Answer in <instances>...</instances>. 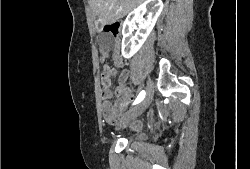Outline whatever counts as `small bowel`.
Returning a JSON list of instances; mask_svg holds the SVG:
<instances>
[{"label": "small bowel", "instance_id": "small-bowel-1", "mask_svg": "<svg viewBox=\"0 0 250 169\" xmlns=\"http://www.w3.org/2000/svg\"><path fill=\"white\" fill-rule=\"evenodd\" d=\"M110 54V49L101 48L100 49V62L104 63ZM113 61L114 64L118 67L123 66L124 59L120 53V50L117 45L113 46ZM116 69L108 65H104L103 71L101 73V84H102V100H103V114L104 117L110 122L115 123L116 120L123 112L126 110L128 105L134 100V95L132 89L127 85V80L129 77V71L123 70L119 75V86L122 88V96L115 101L111 102L112 91L111 81L112 78L116 75ZM139 123L137 121L132 122L131 128L136 130L139 128Z\"/></svg>", "mask_w": 250, "mask_h": 169}]
</instances>
